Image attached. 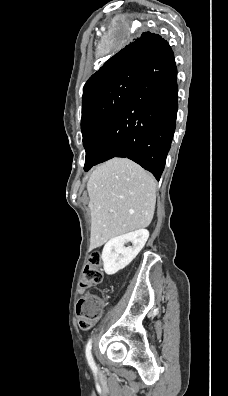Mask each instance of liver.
<instances>
[{
  "label": "liver",
  "mask_w": 228,
  "mask_h": 396,
  "mask_svg": "<svg viewBox=\"0 0 228 396\" xmlns=\"http://www.w3.org/2000/svg\"><path fill=\"white\" fill-rule=\"evenodd\" d=\"M87 190L91 214V248L146 228L153 219L156 182L127 158H113L91 174Z\"/></svg>",
  "instance_id": "obj_1"
}]
</instances>
